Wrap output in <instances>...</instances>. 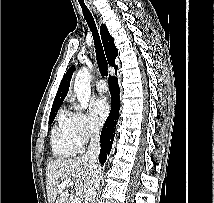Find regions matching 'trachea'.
Segmentation results:
<instances>
[{
  "label": "trachea",
  "mask_w": 214,
  "mask_h": 203,
  "mask_svg": "<svg viewBox=\"0 0 214 203\" xmlns=\"http://www.w3.org/2000/svg\"><path fill=\"white\" fill-rule=\"evenodd\" d=\"M80 5L83 11L84 18L90 28V31L92 32L99 71L101 75L107 76L108 75L107 60L103 51V47L101 44V40L98 34V30H97L94 18L91 12L89 11V9L84 4H80Z\"/></svg>",
  "instance_id": "trachea-1"
}]
</instances>
